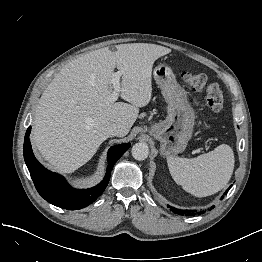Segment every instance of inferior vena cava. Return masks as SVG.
Masks as SVG:
<instances>
[{
	"instance_id": "inferior-vena-cava-1",
	"label": "inferior vena cava",
	"mask_w": 262,
	"mask_h": 262,
	"mask_svg": "<svg viewBox=\"0 0 262 262\" xmlns=\"http://www.w3.org/2000/svg\"><path fill=\"white\" fill-rule=\"evenodd\" d=\"M104 131L108 137L118 136L120 133V127L116 124H109L104 128Z\"/></svg>"
}]
</instances>
